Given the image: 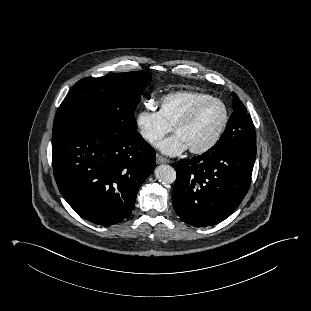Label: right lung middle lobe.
<instances>
[{
	"label": "right lung middle lobe",
	"instance_id": "right-lung-middle-lobe-1",
	"mask_svg": "<svg viewBox=\"0 0 311 311\" xmlns=\"http://www.w3.org/2000/svg\"><path fill=\"white\" fill-rule=\"evenodd\" d=\"M150 80L140 71L81 79L56 112L53 137L70 132H136L134 111Z\"/></svg>",
	"mask_w": 311,
	"mask_h": 311
}]
</instances>
